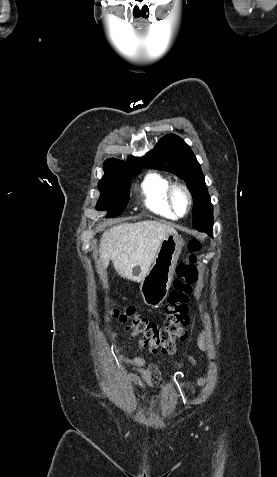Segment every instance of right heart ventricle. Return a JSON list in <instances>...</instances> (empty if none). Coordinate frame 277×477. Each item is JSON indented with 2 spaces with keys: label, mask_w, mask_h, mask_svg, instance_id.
<instances>
[{
  "label": "right heart ventricle",
  "mask_w": 277,
  "mask_h": 477,
  "mask_svg": "<svg viewBox=\"0 0 277 477\" xmlns=\"http://www.w3.org/2000/svg\"><path fill=\"white\" fill-rule=\"evenodd\" d=\"M170 181L158 172L148 173L141 184L145 206L153 213L168 219H177L167 202V189Z\"/></svg>",
  "instance_id": "right-heart-ventricle-1"
}]
</instances>
